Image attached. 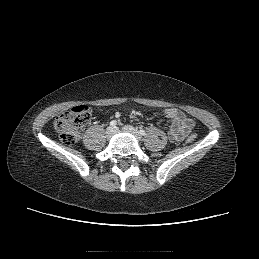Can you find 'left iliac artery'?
I'll return each mask as SVG.
<instances>
[{"label":"left iliac artery","instance_id":"1","mask_svg":"<svg viewBox=\"0 0 259 259\" xmlns=\"http://www.w3.org/2000/svg\"><path fill=\"white\" fill-rule=\"evenodd\" d=\"M139 133H140L141 135H145V130L141 129V130L139 131Z\"/></svg>","mask_w":259,"mask_h":259}]
</instances>
